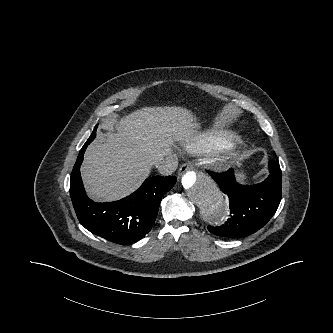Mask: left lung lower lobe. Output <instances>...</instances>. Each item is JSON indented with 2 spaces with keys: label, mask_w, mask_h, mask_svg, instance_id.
Instances as JSON below:
<instances>
[{
  "label": "left lung lower lobe",
  "mask_w": 333,
  "mask_h": 333,
  "mask_svg": "<svg viewBox=\"0 0 333 333\" xmlns=\"http://www.w3.org/2000/svg\"><path fill=\"white\" fill-rule=\"evenodd\" d=\"M269 177L262 183L243 186L236 182L233 169L209 173L220 190L229 197L230 218L220 227L208 230L222 237H244L261 229L274 215L282 194V175L279 163L269 161Z\"/></svg>",
  "instance_id": "1"
}]
</instances>
